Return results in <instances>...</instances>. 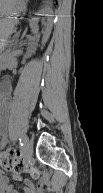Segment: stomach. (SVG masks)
<instances>
[{
	"label": "stomach",
	"mask_w": 103,
	"mask_h": 193,
	"mask_svg": "<svg viewBox=\"0 0 103 193\" xmlns=\"http://www.w3.org/2000/svg\"><path fill=\"white\" fill-rule=\"evenodd\" d=\"M25 8V0H5L3 5L1 6V14L2 16H11L20 13L21 11L25 10ZM9 31L10 28L8 26L3 27V32L5 36L9 34Z\"/></svg>",
	"instance_id": "stomach-1"
}]
</instances>
